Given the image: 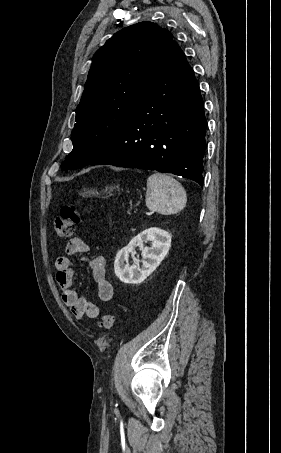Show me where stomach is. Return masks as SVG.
<instances>
[{"label":"stomach","mask_w":281,"mask_h":453,"mask_svg":"<svg viewBox=\"0 0 281 453\" xmlns=\"http://www.w3.org/2000/svg\"><path fill=\"white\" fill-rule=\"evenodd\" d=\"M114 188V186H112ZM85 196H90V194H97L96 190H90V192H84Z\"/></svg>","instance_id":"0dacf381"}]
</instances>
